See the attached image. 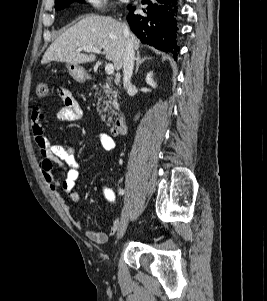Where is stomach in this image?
Listing matches in <instances>:
<instances>
[{"label":"stomach","mask_w":267,"mask_h":301,"mask_svg":"<svg viewBox=\"0 0 267 301\" xmlns=\"http://www.w3.org/2000/svg\"><path fill=\"white\" fill-rule=\"evenodd\" d=\"M67 69H68L69 74L75 81L80 82V83H83L86 81L88 75H87L86 71L79 65L67 64Z\"/></svg>","instance_id":"1"}]
</instances>
